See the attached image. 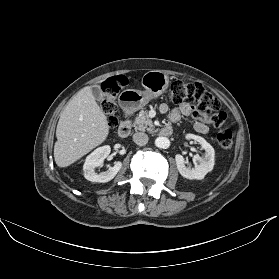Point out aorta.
<instances>
[{
    "instance_id": "762f6f07",
    "label": "aorta",
    "mask_w": 279,
    "mask_h": 279,
    "mask_svg": "<svg viewBox=\"0 0 279 279\" xmlns=\"http://www.w3.org/2000/svg\"><path fill=\"white\" fill-rule=\"evenodd\" d=\"M155 145L158 148L166 149L170 146V140L166 137H157L155 139Z\"/></svg>"
}]
</instances>
